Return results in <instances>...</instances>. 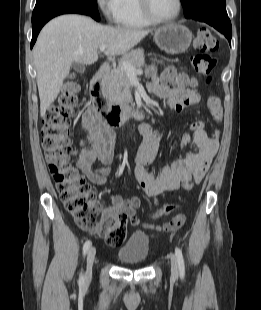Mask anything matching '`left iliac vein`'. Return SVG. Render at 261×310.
Segmentation results:
<instances>
[{
  "label": "left iliac vein",
  "instance_id": "4c4485c4",
  "mask_svg": "<svg viewBox=\"0 0 261 310\" xmlns=\"http://www.w3.org/2000/svg\"><path fill=\"white\" fill-rule=\"evenodd\" d=\"M171 259V277L172 279H177L178 277V264H177V259L174 254L170 255Z\"/></svg>",
  "mask_w": 261,
  "mask_h": 310
}]
</instances>
